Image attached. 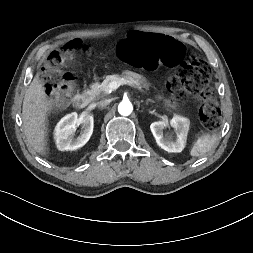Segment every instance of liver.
I'll use <instances>...</instances> for the list:
<instances>
[{"label":"liver","mask_w":253,"mask_h":253,"mask_svg":"<svg viewBox=\"0 0 253 253\" xmlns=\"http://www.w3.org/2000/svg\"><path fill=\"white\" fill-rule=\"evenodd\" d=\"M52 103L45 93L44 83L36 74L23 100L22 119L29 144L40 155L46 154V120Z\"/></svg>","instance_id":"6515ba94"}]
</instances>
